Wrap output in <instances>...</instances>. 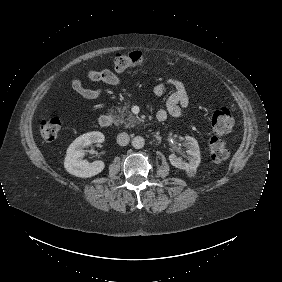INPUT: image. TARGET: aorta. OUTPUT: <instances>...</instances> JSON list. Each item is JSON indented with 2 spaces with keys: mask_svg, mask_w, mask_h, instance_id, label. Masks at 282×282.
<instances>
[{
  "mask_svg": "<svg viewBox=\"0 0 282 282\" xmlns=\"http://www.w3.org/2000/svg\"><path fill=\"white\" fill-rule=\"evenodd\" d=\"M145 145V139L142 136H136L132 140V146L135 149H142Z\"/></svg>",
  "mask_w": 282,
  "mask_h": 282,
  "instance_id": "1",
  "label": "aorta"
}]
</instances>
